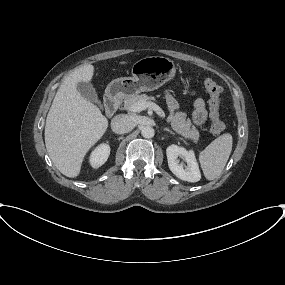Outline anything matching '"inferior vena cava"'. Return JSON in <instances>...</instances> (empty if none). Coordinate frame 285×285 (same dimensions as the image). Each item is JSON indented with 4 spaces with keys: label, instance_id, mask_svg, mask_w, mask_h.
<instances>
[{
    "label": "inferior vena cava",
    "instance_id": "obj_1",
    "mask_svg": "<svg viewBox=\"0 0 285 285\" xmlns=\"http://www.w3.org/2000/svg\"><path fill=\"white\" fill-rule=\"evenodd\" d=\"M134 125L132 117L125 114L116 115L111 121V129L116 134L128 133L134 128Z\"/></svg>",
    "mask_w": 285,
    "mask_h": 285
}]
</instances>
